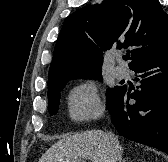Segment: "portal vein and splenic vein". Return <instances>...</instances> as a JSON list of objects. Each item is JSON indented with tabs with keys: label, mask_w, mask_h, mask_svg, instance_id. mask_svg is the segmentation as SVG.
Instances as JSON below:
<instances>
[{
	"label": "portal vein and splenic vein",
	"mask_w": 168,
	"mask_h": 162,
	"mask_svg": "<svg viewBox=\"0 0 168 162\" xmlns=\"http://www.w3.org/2000/svg\"><path fill=\"white\" fill-rule=\"evenodd\" d=\"M74 162H85L84 160H76Z\"/></svg>",
	"instance_id": "obj_1"
}]
</instances>
